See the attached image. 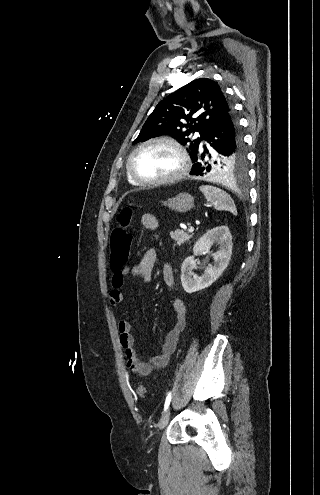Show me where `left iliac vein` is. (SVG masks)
I'll return each instance as SVG.
<instances>
[{
  "instance_id": "4c4485c4",
  "label": "left iliac vein",
  "mask_w": 320,
  "mask_h": 495,
  "mask_svg": "<svg viewBox=\"0 0 320 495\" xmlns=\"http://www.w3.org/2000/svg\"><path fill=\"white\" fill-rule=\"evenodd\" d=\"M169 417H170V409H167L159 421L158 426L160 430H162L168 424Z\"/></svg>"
}]
</instances>
